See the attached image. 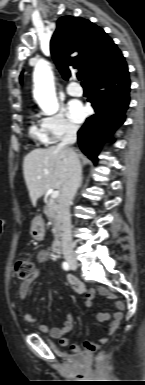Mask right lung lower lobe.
<instances>
[{
    "label": "right lung lower lobe",
    "instance_id": "obj_1",
    "mask_svg": "<svg viewBox=\"0 0 145 385\" xmlns=\"http://www.w3.org/2000/svg\"><path fill=\"white\" fill-rule=\"evenodd\" d=\"M95 114L87 118L78 131L81 150L94 163L101 145L125 121L129 105L130 80L126 62L113 72L99 76L88 83Z\"/></svg>",
    "mask_w": 145,
    "mask_h": 385
}]
</instances>
